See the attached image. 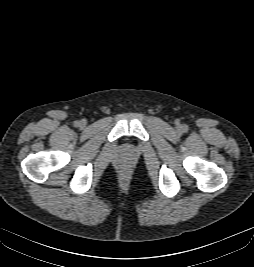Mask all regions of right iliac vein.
I'll use <instances>...</instances> for the list:
<instances>
[{"instance_id":"1","label":"right iliac vein","mask_w":254,"mask_h":267,"mask_svg":"<svg viewBox=\"0 0 254 267\" xmlns=\"http://www.w3.org/2000/svg\"><path fill=\"white\" fill-rule=\"evenodd\" d=\"M80 126H81V127H85V126H86V121H84V120L81 121V122H80Z\"/></svg>"}]
</instances>
